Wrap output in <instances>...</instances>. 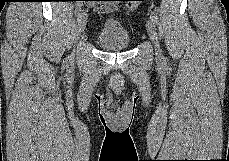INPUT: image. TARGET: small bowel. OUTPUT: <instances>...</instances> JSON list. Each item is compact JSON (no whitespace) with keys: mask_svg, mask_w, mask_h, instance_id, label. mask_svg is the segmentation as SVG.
Here are the masks:
<instances>
[{"mask_svg":"<svg viewBox=\"0 0 229 161\" xmlns=\"http://www.w3.org/2000/svg\"><path fill=\"white\" fill-rule=\"evenodd\" d=\"M117 1H104L103 2V9L105 11H112L117 8Z\"/></svg>","mask_w":229,"mask_h":161,"instance_id":"small-bowel-1","label":"small bowel"}]
</instances>
